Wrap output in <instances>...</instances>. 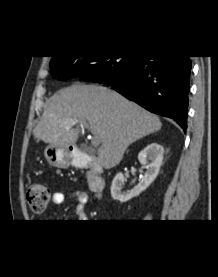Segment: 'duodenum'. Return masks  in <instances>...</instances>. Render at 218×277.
Listing matches in <instances>:
<instances>
[{"label":"duodenum","instance_id":"1","mask_svg":"<svg viewBox=\"0 0 218 277\" xmlns=\"http://www.w3.org/2000/svg\"><path fill=\"white\" fill-rule=\"evenodd\" d=\"M70 160L74 167L89 171L88 187L95 194H102L105 190V179L101 174V166L98 160L83 151L73 150Z\"/></svg>","mask_w":218,"mask_h":277}]
</instances>
